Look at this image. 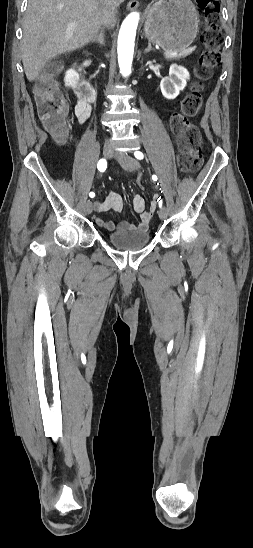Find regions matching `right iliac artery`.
Masks as SVG:
<instances>
[{
    "instance_id": "right-iliac-artery-1",
    "label": "right iliac artery",
    "mask_w": 253,
    "mask_h": 548,
    "mask_svg": "<svg viewBox=\"0 0 253 548\" xmlns=\"http://www.w3.org/2000/svg\"><path fill=\"white\" fill-rule=\"evenodd\" d=\"M97 168H98V170H99L100 172H104V171L106 170V168H107V162H106V160H105V159L99 160V162H98V164H97ZM89 196H90L91 198H93V197L95 196V193H94V192H90V193H89Z\"/></svg>"
}]
</instances>
